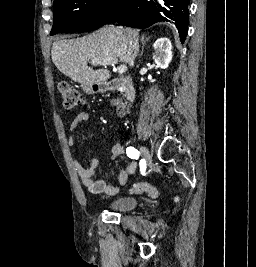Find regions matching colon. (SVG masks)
I'll use <instances>...</instances> for the list:
<instances>
[{
	"label": "colon",
	"instance_id": "5ec220e1",
	"mask_svg": "<svg viewBox=\"0 0 256 267\" xmlns=\"http://www.w3.org/2000/svg\"><path fill=\"white\" fill-rule=\"evenodd\" d=\"M58 92L62 99L63 105L67 109H74L81 106L84 103V97L82 92H80L74 85L68 83H61L58 85ZM121 111L124 107L119 108ZM132 192L134 193H147L150 197L154 198L158 195L155 188L146 182H137L132 186ZM155 200V199H152ZM180 197H176V201H179Z\"/></svg>",
	"mask_w": 256,
	"mask_h": 267
}]
</instances>
